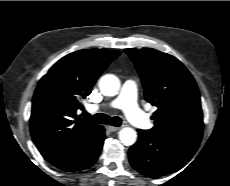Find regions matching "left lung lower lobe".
<instances>
[{"mask_svg": "<svg viewBox=\"0 0 230 186\" xmlns=\"http://www.w3.org/2000/svg\"><path fill=\"white\" fill-rule=\"evenodd\" d=\"M138 141L129 149L131 165L139 172L160 177L180 170L196 152L199 143L180 141L138 129Z\"/></svg>", "mask_w": 230, "mask_h": 186, "instance_id": "left-lung-lower-lobe-1", "label": "left lung lower lobe"}]
</instances>
